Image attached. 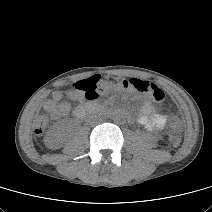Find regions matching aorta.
<instances>
[{
	"instance_id": "762f6f07",
	"label": "aorta",
	"mask_w": 212,
	"mask_h": 212,
	"mask_svg": "<svg viewBox=\"0 0 212 212\" xmlns=\"http://www.w3.org/2000/svg\"><path fill=\"white\" fill-rule=\"evenodd\" d=\"M113 120L115 122H121L122 121V115L121 113H116L114 116H113Z\"/></svg>"
}]
</instances>
